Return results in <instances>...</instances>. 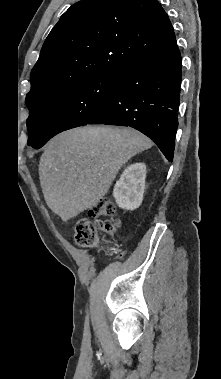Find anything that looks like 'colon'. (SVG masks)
<instances>
[{"label": "colon", "mask_w": 221, "mask_h": 379, "mask_svg": "<svg viewBox=\"0 0 221 379\" xmlns=\"http://www.w3.org/2000/svg\"><path fill=\"white\" fill-rule=\"evenodd\" d=\"M115 206L109 200H101L90 210L89 218H81L74 229V243L80 247L96 245L103 234H113L120 226L119 219L114 217Z\"/></svg>", "instance_id": "1"}]
</instances>
